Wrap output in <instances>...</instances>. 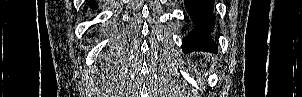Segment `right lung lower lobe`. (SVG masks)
I'll list each match as a JSON object with an SVG mask.
<instances>
[{
    "label": "right lung lower lobe",
    "instance_id": "1",
    "mask_svg": "<svg viewBox=\"0 0 302 97\" xmlns=\"http://www.w3.org/2000/svg\"><path fill=\"white\" fill-rule=\"evenodd\" d=\"M90 6L93 8V9H96L97 8V5L94 1H90Z\"/></svg>",
    "mask_w": 302,
    "mask_h": 97
}]
</instances>
